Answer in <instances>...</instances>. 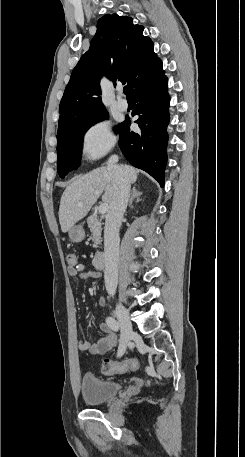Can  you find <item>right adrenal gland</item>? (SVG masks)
I'll return each instance as SVG.
<instances>
[{
	"instance_id": "obj_1",
	"label": "right adrenal gland",
	"mask_w": 245,
	"mask_h": 457,
	"mask_svg": "<svg viewBox=\"0 0 245 457\" xmlns=\"http://www.w3.org/2000/svg\"><path fill=\"white\" fill-rule=\"evenodd\" d=\"M140 194H142V192H138V190H136V186H133L128 206H132L134 198H137L136 202H138Z\"/></svg>"
}]
</instances>
